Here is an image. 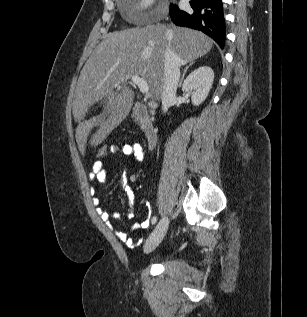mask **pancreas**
<instances>
[{
  "label": "pancreas",
  "mask_w": 307,
  "mask_h": 317,
  "mask_svg": "<svg viewBox=\"0 0 307 317\" xmlns=\"http://www.w3.org/2000/svg\"><path fill=\"white\" fill-rule=\"evenodd\" d=\"M139 122H140V124H141V128L144 129L145 119L140 118V119H139Z\"/></svg>",
  "instance_id": "obj_1"
}]
</instances>
